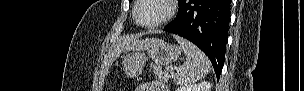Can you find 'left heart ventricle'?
Instances as JSON below:
<instances>
[{"instance_id": "obj_1", "label": "left heart ventricle", "mask_w": 304, "mask_h": 91, "mask_svg": "<svg viewBox=\"0 0 304 91\" xmlns=\"http://www.w3.org/2000/svg\"><path fill=\"white\" fill-rule=\"evenodd\" d=\"M167 12V6L161 0H144L138 10V20L142 24H151L161 19Z\"/></svg>"}]
</instances>
